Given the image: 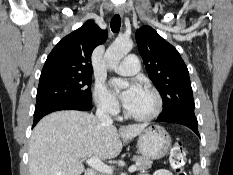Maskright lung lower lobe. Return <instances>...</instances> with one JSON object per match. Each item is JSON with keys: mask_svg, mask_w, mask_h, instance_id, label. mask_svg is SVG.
Wrapping results in <instances>:
<instances>
[{"mask_svg": "<svg viewBox=\"0 0 233 175\" xmlns=\"http://www.w3.org/2000/svg\"><path fill=\"white\" fill-rule=\"evenodd\" d=\"M92 109L91 104H78V103H54L42 106L38 109H35L34 113V122L33 127L37 124V122L45 115L58 111V110H80V111H88Z\"/></svg>", "mask_w": 233, "mask_h": 175, "instance_id": "98d812e1", "label": "right lung lower lobe"}]
</instances>
